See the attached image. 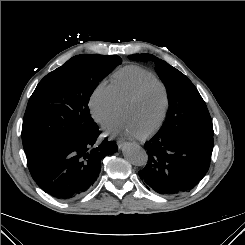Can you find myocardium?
I'll return each instance as SVG.
<instances>
[{"mask_svg":"<svg viewBox=\"0 0 245 245\" xmlns=\"http://www.w3.org/2000/svg\"><path fill=\"white\" fill-rule=\"evenodd\" d=\"M152 84L158 85L162 89L163 95H164V106H163V111H162V114H161L159 120L149 130H147L144 133L139 135V137L142 139L147 138V137L151 136L152 134H154L155 132H157L166 120V117H167V114L169 111V107H170V94H169V90H168L167 86L165 85L164 82H162L160 79H158L156 77L149 79V80H146V81L142 82L141 84H139L131 93H129L120 102V109H121V107L124 104L137 99L142 94V92L149 85H152Z\"/></svg>","mask_w":245,"mask_h":245,"instance_id":"1","label":"myocardium"}]
</instances>
